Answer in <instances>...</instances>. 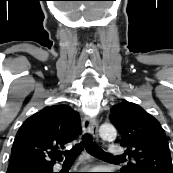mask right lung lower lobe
Returning a JSON list of instances; mask_svg holds the SVG:
<instances>
[{
  "instance_id": "obj_1",
  "label": "right lung lower lobe",
  "mask_w": 173,
  "mask_h": 173,
  "mask_svg": "<svg viewBox=\"0 0 173 173\" xmlns=\"http://www.w3.org/2000/svg\"><path fill=\"white\" fill-rule=\"evenodd\" d=\"M53 165L54 164L46 165V166L19 168V169L8 171L7 173H54Z\"/></svg>"
}]
</instances>
